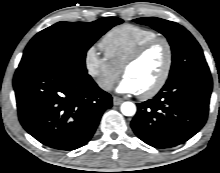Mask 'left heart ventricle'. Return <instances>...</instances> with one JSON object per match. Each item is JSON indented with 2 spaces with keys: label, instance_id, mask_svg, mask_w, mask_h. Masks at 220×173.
Listing matches in <instances>:
<instances>
[{
  "label": "left heart ventricle",
  "instance_id": "1",
  "mask_svg": "<svg viewBox=\"0 0 220 173\" xmlns=\"http://www.w3.org/2000/svg\"><path fill=\"white\" fill-rule=\"evenodd\" d=\"M166 57L165 46L159 44L131 66L124 76L134 82L139 93L147 91L160 78L166 64Z\"/></svg>",
  "mask_w": 220,
  "mask_h": 173
}]
</instances>
